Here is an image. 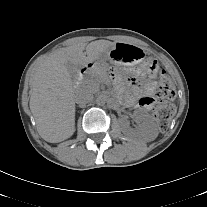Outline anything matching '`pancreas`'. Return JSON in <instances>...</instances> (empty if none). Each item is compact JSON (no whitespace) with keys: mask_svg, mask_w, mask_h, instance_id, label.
<instances>
[{"mask_svg":"<svg viewBox=\"0 0 207 207\" xmlns=\"http://www.w3.org/2000/svg\"><path fill=\"white\" fill-rule=\"evenodd\" d=\"M106 66V64H104ZM106 74L104 67H97L89 78L83 83V87L91 91H96L99 88V84L105 79Z\"/></svg>","mask_w":207,"mask_h":207,"instance_id":"cf45deb5","label":"pancreas"}]
</instances>
